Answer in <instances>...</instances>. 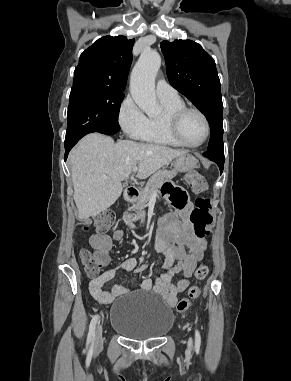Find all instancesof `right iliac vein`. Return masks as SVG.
Masks as SVG:
<instances>
[{"label":"right iliac vein","instance_id":"right-iliac-vein-1","mask_svg":"<svg viewBox=\"0 0 291 381\" xmlns=\"http://www.w3.org/2000/svg\"><path fill=\"white\" fill-rule=\"evenodd\" d=\"M102 336H103V327L101 324H99L96 328L95 339H94V346L96 349L102 346V343H103Z\"/></svg>","mask_w":291,"mask_h":381}]
</instances>
